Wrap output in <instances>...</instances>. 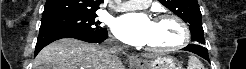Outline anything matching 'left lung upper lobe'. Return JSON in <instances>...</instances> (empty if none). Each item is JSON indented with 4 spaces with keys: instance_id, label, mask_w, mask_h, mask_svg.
<instances>
[{
    "instance_id": "1",
    "label": "left lung upper lobe",
    "mask_w": 246,
    "mask_h": 69,
    "mask_svg": "<svg viewBox=\"0 0 246 69\" xmlns=\"http://www.w3.org/2000/svg\"><path fill=\"white\" fill-rule=\"evenodd\" d=\"M165 7L189 25L193 43L204 45V31L197 0H159Z\"/></svg>"
}]
</instances>
